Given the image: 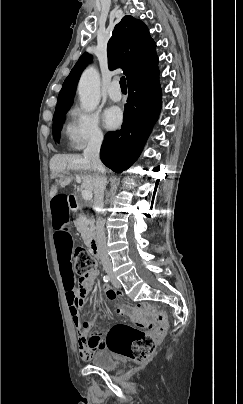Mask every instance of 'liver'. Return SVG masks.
<instances>
[{
  "mask_svg": "<svg viewBox=\"0 0 243 404\" xmlns=\"http://www.w3.org/2000/svg\"><path fill=\"white\" fill-rule=\"evenodd\" d=\"M50 170L52 176H60V174H66L69 170H75V172H81V170H91L90 162L85 160L83 156H76V154H56L50 160ZM81 188L85 190H94V182L92 176H86L82 174ZM56 186H52L50 190V198H54L58 192L57 186H68L71 182V178H65V180H56Z\"/></svg>",
  "mask_w": 243,
  "mask_h": 404,
  "instance_id": "6515ba94",
  "label": "liver"
}]
</instances>
